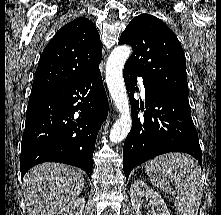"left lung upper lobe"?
<instances>
[{
	"label": "left lung upper lobe",
	"mask_w": 221,
	"mask_h": 215,
	"mask_svg": "<svg viewBox=\"0 0 221 215\" xmlns=\"http://www.w3.org/2000/svg\"><path fill=\"white\" fill-rule=\"evenodd\" d=\"M118 44L133 48L126 67L157 86L188 97L185 55L177 37L163 21L147 13L135 17Z\"/></svg>",
	"instance_id": "5c2ea615"
}]
</instances>
